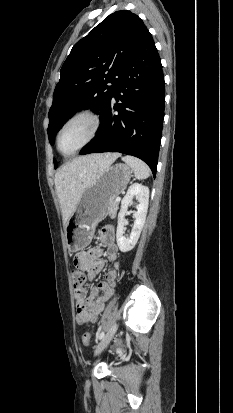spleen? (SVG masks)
Wrapping results in <instances>:
<instances>
[{
    "mask_svg": "<svg viewBox=\"0 0 233 413\" xmlns=\"http://www.w3.org/2000/svg\"><path fill=\"white\" fill-rule=\"evenodd\" d=\"M122 160L134 170L137 179L142 180L150 176V168L142 160L133 156H124Z\"/></svg>",
    "mask_w": 233,
    "mask_h": 413,
    "instance_id": "obj_1",
    "label": "spleen"
}]
</instances>
